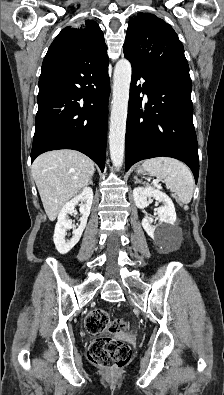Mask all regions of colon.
<instances>
[{
	"instance_id": "5ec220e1",
	"label": "colon",
	"mask_w": 224,
	"mask_h": 395,
	"mask_svg": "<svg viewBox=\"0 0 224 395\" xmlns=\"http://www.w3.org/2000/svg\"><path fill=\"white\" fill-rule=\"evenodd\" d=\"M84 325L91 334H99L105 330L118 333L126 328V323L120 319H111L103 309H94L88 313ZM92 363L106 369L125 367L131 358V347L126 342L113 337L95 339L89 349Z\"/></svg>"
}]
</instances>
